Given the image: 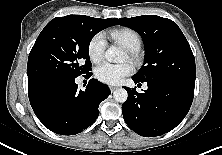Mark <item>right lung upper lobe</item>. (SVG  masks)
I'll list each match as a JSON object with an SVG mask.
<instances>
[{
    "label": "right lung upper lobe",
    "instance_id": "right-lung-upper-lobe-1",
    "mask_svg": "<svg viewBox=\"0 0 222 155\" xmlns=\"http://www.w3.org/2000/svg\"><path fill=\"white\" fill-rule=\"evenodd\" d=\"M111 19V18H110ZM117 25V18L111 19ZM51 90L50 85L42 84L31 78H28V95L29 99L42 98Z\"/></svg>",
    "mask_w": 222,
    "mask_h": 155
}]
</instances>
